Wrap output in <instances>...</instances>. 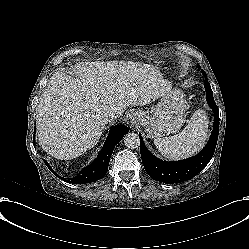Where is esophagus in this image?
Returning <instances> with one entry per match:
<instances>
[{"label": "esophagus", "mask_w": 249, "mask_h": 249, "mask_svg": "<svg viewBox=\"0 0 249 249\" xmlns=\"http://www.w3.org/2000/svg\"><path fill=\"white\" fill-rule=\"evenodd\" d=\"M135 116H136V114L133 112L131 115H130V119H132V121L134 120V118H135Z\"/></svg>", "instance_id": "1"}]
</instances>
